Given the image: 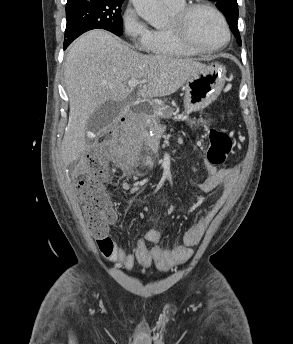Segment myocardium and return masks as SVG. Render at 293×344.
Listing matches in <instances>:
<instances>
[{
    "instance_id": "1",
    "label": "myocardium",
    "mask_w": 293,
    "mask_h": 344,
    "mask_svg": "<svg viewBox=\"0 0 293 344\" xmlns=\"http://www.w3.org/2000/svg\"><path fill=\"white\" fill-rule=\"evenodd\" d=\"M197 9H206L212 12L221 22L225 31V40L214 47H202L194 43L188 33V21L191 14ZM168 31L172 37L187 49L195 53H214L226 47L231 40V31L229 24L223 13L210 3L197 1L187 4L171 16Z\"/></svg>"
}]
</instances>
